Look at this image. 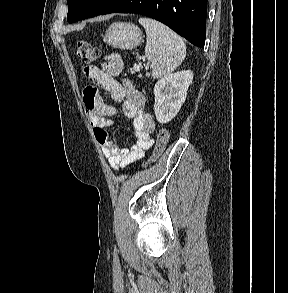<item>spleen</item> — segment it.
I'll list each match as a JSON object with an SVG mask.
<instances>
[{
  "label": "spleen",
  "instance_id": "1",
  "mask_svg": "<svg viewBox=\"0 0 288 293\" xmlns=\"http://www.w3.org/2000/svg\"><path fill=\"white\" fill-rule=\"evenodd\" d=\"M139 23L146 31L145 55L151 62L152 76L162 78L169 75L186 56L183 39L154 19L141 17Z\"/></svg>",
  "mask_w": 288,
  "mask_h": 293
}]
</instances>
